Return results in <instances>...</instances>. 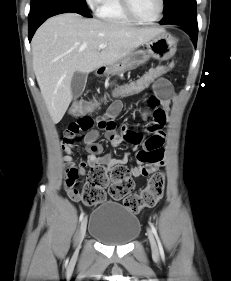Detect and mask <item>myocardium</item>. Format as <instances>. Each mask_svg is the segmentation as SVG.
<instances>
[{
  "instance_id": "myocardium-1",
  "label": "myocardium",
  "mask_w": 231,
  "mask_h": 281,
  "mask_svg": "<svg viewBox=\"0 0 231 281\" xmlns=\"http://www.w3.org/2000/svg\"><path fill=\"white\" fill-rule=\"evenodd\" d=\"M121 6L125 14L132 20L140 24H154L161 20L163 17L164 9H165V1L164 0H159L160 8L157 16L153 19L146 20L140 18L134 11L131 0H120Z\"/></svg>"
}]
</instances>
